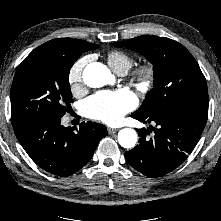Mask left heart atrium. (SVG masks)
<instances>
[{
    "mask_svg": "<svg viewBox=\"0 0 221 221\" xmlns=\"http://www.w3.org/2000/svg\"><path fill=\"white\" fill-rule=\"evenodd\" d=\"M137 105L136 96L127 89L101 91L89 97L84 103L86 114L108 124L119 122Z\"/></svg>",
    "mask_w": 221,
    "mask_h": 221,
    "instance_id": "1",
    "label": "left heart atrium"
}]
</instances>
